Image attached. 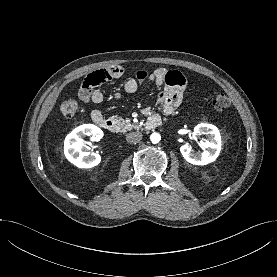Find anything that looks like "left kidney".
Segmentation results:
<instances>
[{"label":"left kidney","instance_id":"1","mask_svg":"<svg viewBox=\"0 0 277 277\" xmlns=\"http://www.w3.org/2000/svg\"><path fill=\"white\" fill-rule=\"evenodd\" d=\"M194 132L206 136L207 139L201 141L205 151L201 154H195L189 145H182L180 152L184 159L194 165H207L215 161L221 150V136L218 128L211 124L201 123L195 126Z\"/></svg>","mask_w":277,"mask_h":277}]
</instances>
